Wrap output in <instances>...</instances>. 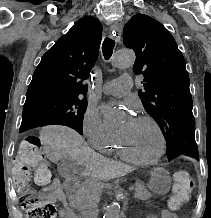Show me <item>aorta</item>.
<instances>
[{
	"mask_svg": "<svg viewBox=\"0 0 211 218\" xmlns=\"http://www.w3.org/2000/svg\"><path fill=\"white\" fill-rule=\"evenodd\" d=\"M135 61V54L131 50H118L112 58V66L116 68H126L132 66ZM103 113V119L105 127L108 130H116L122 124V116L107 108L105 105L101 107ZM120 215V204L118 202L111 203L105 212L104 218H119Z\"/></svg>",
	"mask_w": 211,
	"mask_h": 218,
	"instance_id": "1",
	"label": "aorta"
}]
</instances>
